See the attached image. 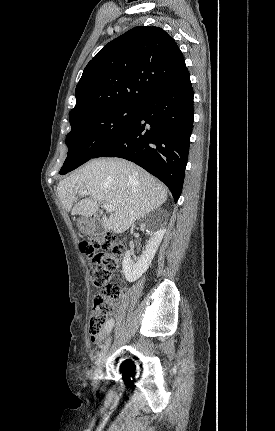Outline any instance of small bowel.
Instances as JSON below:
<instances>
[{"label": "small bowel", "mask_w": 275, "mask_h": 431, "mask_svg": "<svg viewBox=\"0 0 275 431\" xmlns=\"http://www.w3.org/2000/svg\"><path fill=\"white\" fill-rule=\"evenodd\" d=\"M105 331H106V329H105ZM103 337H104V332L101 335L97 336V337H91V341L94 344H99L101 342V340L103 339Z\"/></svg>", "instance_id": "obj_1"}]
</instances>
